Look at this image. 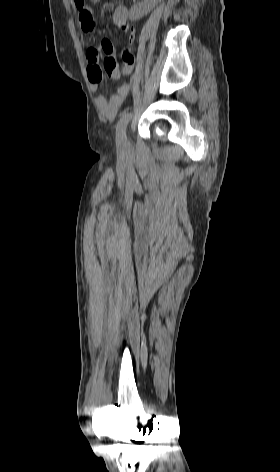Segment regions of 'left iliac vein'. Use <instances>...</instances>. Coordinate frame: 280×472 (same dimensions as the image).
<instances>
[{"label":"left iliac vein","mask_w":280,"mask_h":472,"mask_svg":"<svg viewBox=\"0 0 280 472\" xmlns=\"http://www.w3.org/2000/svg\"><path fill=\"white\" fill-rule=\"evenodd\" d=\"M121 147L125 150V151H129L130 148H131V140H130V137L127 135L125 136V138L121 141Z\"/></svg>","instance_id":"4c4485c4"}]
</instances>
